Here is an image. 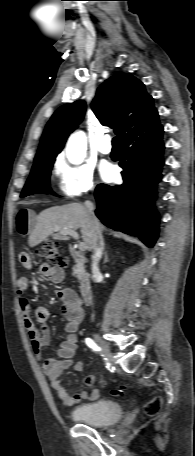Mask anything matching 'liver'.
<instances>
[{
  "mask_svg": "<svg viewBox=\"0 0 195 456\" xmlns=\"http://www.w3.org/2000/svg\"><path fill=\"white\" fill-rule=\"evenodd\" d=\"M76 229H80L83 242L87 249L92 251L95 231L87 208L80 203L50 207L36 217L28 242L30 247H35L50 236L54 239L68 240L65 231Z\"/></svg>",
  "mask_w": 195,
  "mask_h": 456,
  "instance_id": "liver-1",
  "label": "liver"
}]
</instances>
